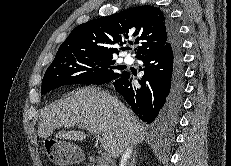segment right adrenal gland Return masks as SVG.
Segmentation results:
<instances>
[{"instance_id": "1", "label": "right adrenal gland", "mask_w": 231, "mask_h": 166, "mask_svg": "<svg viewBox=\"0 0 231 166\" xmlns=\"http://www.w3.org/2000/svg\"><path fill=\"white\" fill-rule=\"evenodd\" d=\"M136 157H137V154H136V150H135L129 166H136V163H137Z\"/></svg>"}]
</instances>
